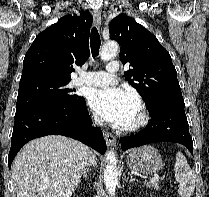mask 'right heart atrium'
I'll return each instance as SVG.
<instances>
[{"label":"right heart atrium","mask_w":209,"mask_h":197,"mask_svg":"<svg viewBox=\"0 0 209 197\" xmlns=\"http://www.w3.org/2000/svg\"><path fill=\"white\" fill-rule=\"evenodd\" d=\"M93 120L96 124L100 123V119L97 116H93Z\"/></svg>","instance_id":"right-heart-atrium-1"}]
</instances>
